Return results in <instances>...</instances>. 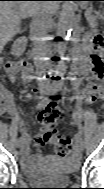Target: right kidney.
I'll use <instances>...</instances> for the list:
<instances>
[{
    "instance_id": "obj_1",
    "label": "right kidney",
    "mask_w": 104,
    "mask_h": 189,
    "mask_svg": "<svg viewBox=\"0 0 104 189\" xmlns=\"http://www.w3.org/2000/svg\"><path fill=\"white\" fill-rule=\"evenodd\" d=\"M26 44L27 40L25 37L17 39L12 45L11 53L16 57H20L26 49Z\"/></svg>"
}]
</instances>
